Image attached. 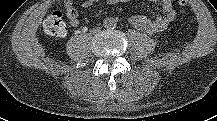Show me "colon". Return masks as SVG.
<instances>
[{
    "instance_id": "colon-1",
    "label": "colon",
    "mask_w": 217,
    "mask_h": 121,
    "mask_svg": "<svg viewBox=\"0 0 217 121\" xmlns=\"http://www.w3.org/2000/svg\"><path fill=\"white\" fill-rule=\"evenodd\" d=\"M179 6H186L187 0H173ZM45 31L52 36H64L67 33V26L63 20L62 13L53 12L46 17L43 23Z\"/></svg>"
}]
</instances>
